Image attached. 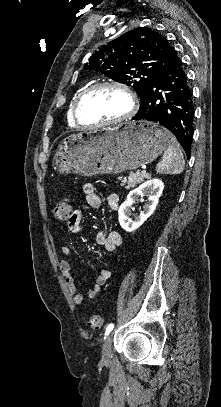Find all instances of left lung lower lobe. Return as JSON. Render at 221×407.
I'll return each mask as SVG.
<instances>
[{
    "instance_id": "1",
    "label": "left lung lower lobe",
    "mask_w": 221,
    "mask_h": 407,
    "mask_svg": "<svg viewBox=\"0 0 221 407\" xmlns=\"http://www.w3.org/2000/svg\"><path fill=\"white\" fill-rule=\"evenodd\" d=\"M133 120L156 122L170 130L187 157L193 137V94L184 65L174 49L171 59L150 80Z\"/></svg>"
}]
</instances>
